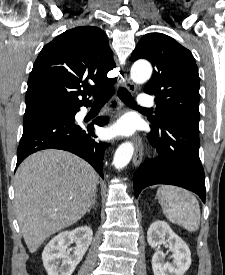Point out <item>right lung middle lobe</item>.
Here are the masks:
<instances>
[{"instance_id":"1","label":"right lung middle lobe","mask_w":225,"mask_h":275,"mask_svg":"<svg viewBox=\"0 0 225 275\" xmlns=\"http://www.w3.org/2000/svg\"><path fill=\"white\" fill-rule=\"evenodd\" d=\"M57 112H60V113H65L66 110H57Z\"/></svg>"}]
</instances>
